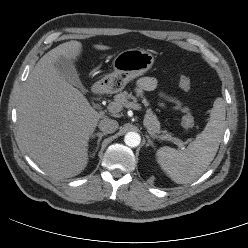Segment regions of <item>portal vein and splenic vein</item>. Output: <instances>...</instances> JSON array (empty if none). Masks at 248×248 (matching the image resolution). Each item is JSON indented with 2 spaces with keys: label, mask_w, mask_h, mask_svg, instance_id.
Listing matches in <instances>:
<instances>
[{
  "label": "portal vein and splenic vein",
  "mask_w": 248,
  "mask_h": 248,
  "mask_svg": "<svg viewBox=\"0 0 248 248\" xmlns=\"http://www.w3.org/2000/svg\"><path fill=\"white\" fill-rule=\"evenodd\" d=\"M126 107L128 108H132L134 110H140L141 106L138 103L135 102H129ZM108 110L112 113H116L121 111V107L118 106L116 103L112 102L108 105ZM174 142V141H173ZM175 144H177L179 147H181L183 149V142L180 139L175 138Z\"/></svg>",
  "instance_id": "obj_1"
}]
</instances>
